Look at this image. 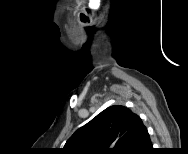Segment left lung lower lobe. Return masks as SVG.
Returning <instances> with one entry per match:
<instances>
[{
	"label": "left lung lower lobe",
	"mask_w": 188,
	"mask_h": 154,
	"mask_svg": "<svg viewBox=\"0 0 188 154\" xmlns=\"http://www.w3.org/2000/svg\"><path fill=\"white\" fill-rule=\"evenodd\" d=\"M152 143L149 133L138 115L134 117L133 133L127 154H149Z\"/></svg>",
	"instance_id": "0a47b994"
}]
</instances>
